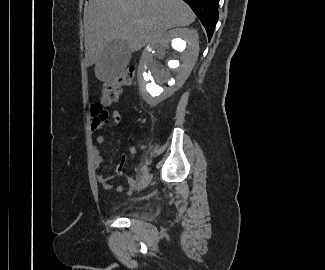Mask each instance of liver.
Returning <instances> with one entry per match:
<instances>
[{"mask_svg":"<svg viewBox=\"0 0 325 270\" xmlns=\"http://www.w3.org/2000/svg\"><path fill=\"white\" fill-rule=\"evenodd\" d=\"M195 14L183 0H89L84 9L85 62L96 66L114 40L126 41L132 52L161 41L168 29L188 26Z\"/></svg>","mask_w":325,"mask_h":270,"instance_id":"obj_1","label":"liver"}]
</instances>
